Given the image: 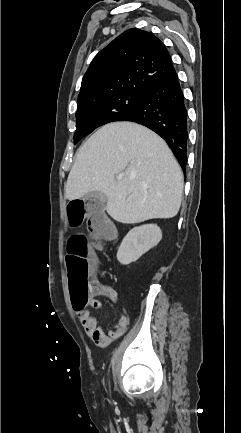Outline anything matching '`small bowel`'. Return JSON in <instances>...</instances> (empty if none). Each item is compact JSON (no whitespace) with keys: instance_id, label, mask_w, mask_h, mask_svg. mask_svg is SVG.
<instances>
[{"instance_id":"obj_1","label":"small bowel","mask_w":241,"mask_h":433,"mask_svg":"<svg viewBox=\"0 0 241 433\" xmlns=\"http://www.w3.org/2000/svg\"><path fill=\"white\" fill-rule=\"evenodd\" d=\"M98 296H104L113 304H118V294L112 286L101 284V289L95 292V297L88 303L91 308L98 309L102 307V302L97 298ZM77 316L86 335L98 347H105L111 341L121 337L127 328L125 316H121L116 325L111 328L108 333L98 324L97 319L88 308L86 312H77Z\"/></svg>"}]
</instances>
